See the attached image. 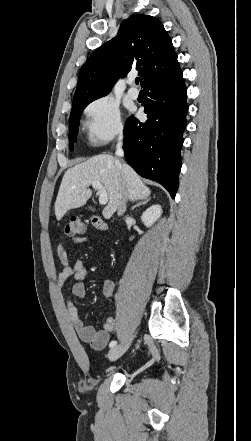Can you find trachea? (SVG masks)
<instances>
[{"instance_id": "trachea-1", "label": "trachea", "mask_w": 251, "mask_h": 441, "mask_svg": "<svg viewBox=\"0 0 251 441\" xmlns=\"http://www.w3.org/2000/svg\"><path fill=\"white\" fill-rule=\"evenodd\" d=\"M139 81H140V79H139V78H136V79H135V82H136V84H138V83H139Z\"/></svg>"}]
</instances>
